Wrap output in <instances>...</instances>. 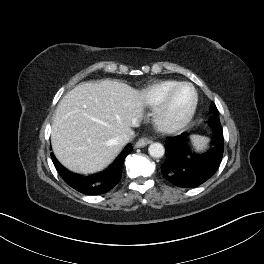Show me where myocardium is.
I'll list each match as a JSON object with an SVG mask.
<instances>
[{
	"instance_id": "obj_1",
	"label": "myocardium",
	"mask_w": 264,
	"mask_h": 264,
	"mask_svg": "<svg viewBox=\"0 0 264 264\" xmlns=\"http://www.w3.org/2000/svg\"><path fill=\"white\" fill-rule=\"evenodd\" d=\"M189 87L192 91V101L185 113L177 119L171 117L172 102L175 94L182 88ZM199 102V95L195 86L190 82H179L169 90L163 101L157 107L153 122L155 127L163 133H177L188 126L193 119Z\"/></svg>"
}]
</instances>
